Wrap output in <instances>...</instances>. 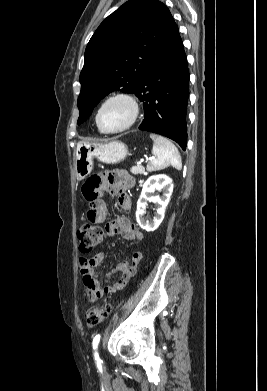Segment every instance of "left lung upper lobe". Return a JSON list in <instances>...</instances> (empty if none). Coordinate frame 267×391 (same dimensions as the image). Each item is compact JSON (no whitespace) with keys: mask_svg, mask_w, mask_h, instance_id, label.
<instances>
[{"mask_svg":"<svg viewBox=\"0 0 267 391\" xmlns=\"http://www.w3.org/2000/svg\"><path fill=\"white\" fill-rule=\"evenodd\" d=\"M177 31L169 9L157 0H130L108 16L85 50L78 124L110 92L135 93L152 60Z\"/></svg>","mask_w":267,"mask_h":391,"instance_id":"obj_1","label":"left lung upper lobe"}]
</instances>
